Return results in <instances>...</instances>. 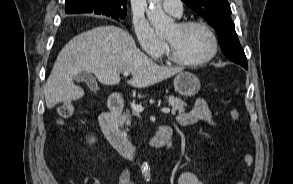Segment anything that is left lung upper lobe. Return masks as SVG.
I'll return each instance as SVG.
<instances>
[{
    "mask_svg": "<svg viewBox=\"0 0 293 184\" xmlns=\"http://www.w3.org/2000/svg\"><path fill=\"white\" fill-rule=\"evenodd\" d=\"M182 1L214 27L227 58L233 62L247 61L231 20V8L227 0Z\"/></svg>",
    "mask_w": 293,
    "mask_h": 184,
    "instance_id": "obj_1",
    "label": "left lung upper lobe"
}]
</instances>
